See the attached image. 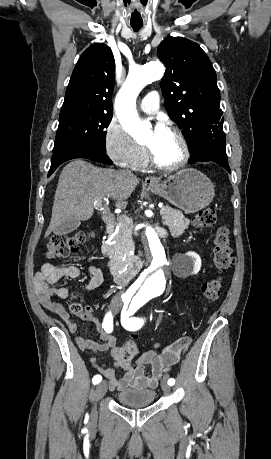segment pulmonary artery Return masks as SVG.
<instances>
[{"mask_svg": "<svg viewBox=\"0 0 271 459\" xmlns=\"http://www.w3.org/2000/svg\"><path fill=\"white\" fill-rule=\"evenodd\" d=\"M159 104H161V95L157 89H152L150 95H144L141 99L140 109L145 113L154 114L158 111Z\"/></svg>", "mask_w": 271, "mask_h": 459, "instance_id": "obj_1", "label": "pulmonary artery"}]
</instances>
